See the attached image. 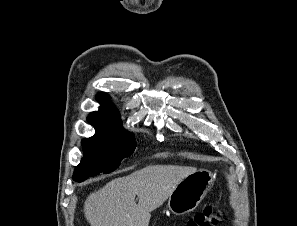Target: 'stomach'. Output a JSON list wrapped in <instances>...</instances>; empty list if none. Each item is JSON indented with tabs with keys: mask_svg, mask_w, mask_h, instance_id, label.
I'll return each instance as SVG.
<instances>
[{
	"mask_svg": "<svg viewBox=\"0 0 297 226\" xmlns=\"http://www.w3.org/2000/svg\"><path fill=\"white\" fill-rule=\"evenodd\" d=\"M214 178L210 171L200 169L182 179L169 196V210L175 215H183L196 209Z\"/></svg>",
	"mask_w": 297,
	"mask_h": 226,
	"instance_id": "0dacf381",
	"label": "stomach"
}]
</instances>
